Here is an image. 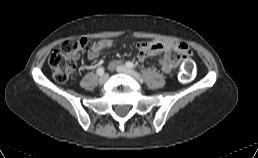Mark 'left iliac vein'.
<instances>
[{
    "mask_svg": "<svg viewBox=\"0 0 258 158\" xmlns=\"http://www.w3.org/2000/svg\"><path fill=\"white\" fill-rule=\"evenodd\" d=\"M116 70L120 73L130 75L131 77L135 78L136 80L141 79L140 75L137 72L125 67L124 65H117Z\"/></svg>",
    "mask_w": 258,
    "mask_h": 158,
    "instance_id": "left-iliac-vein-1",
    "label": "left iliac vein"
}]
</instances>
